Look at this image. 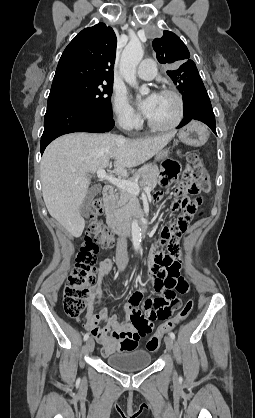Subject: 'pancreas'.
I'll use <instances>...</instances> for the list:
<instances>
[{
	"label": "pancreas",
	"instance_id": "pancreas-1",
	"mask_svg": "<svg viewBox=\"0 0 255 418\" xmlns=\"http://www.w3.org/2000/svg\"><path fill=\"white\" fill-rule=\"evenodd\" d=\"M158 176L159 169L157 165L147 164L135 172L130 180L153 190L157 185ZM111 209L113 213L120 218L136 215L140 210L139 199L136 194L130 193L124 189H119L118 193L112 198Z\"/></svg>",
	"mask_w": 255,
	"mask_h": 418
}]
</instances>
